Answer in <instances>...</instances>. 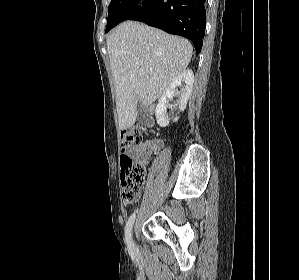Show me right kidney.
I'll list each match as a JSON object with an SVG mask.
<instances>
[{
	"mask_svg": "<svg viewBox=\"0 0 299 280\" xmlns=\"http://www.w3.org/2000/svg\"><path fill=\"white\" fill-rule=\"evenodd\" d=\"M181 83L185 84V89L183 92H178L177 87L181 85ZM193 83H194V74L192 70L185 69L172 81V83L167 87V89L161 95L155 109L156 120L160 127H166L169 125L170 122V118L167 116V111H166L168 99L180 95L179 110L184 111L187 106V101L191 96ZM178 119L179 117L176 116L173 119V122L178 121Z\"/></svg>",
	"mask_w": 299,
	"mask_h": 280,
	"instance_id": "right-kidney-1",
	"label": "right kidney"
}]
</instances>
